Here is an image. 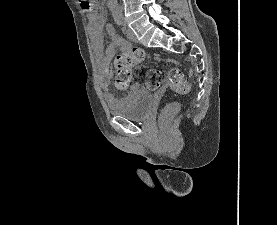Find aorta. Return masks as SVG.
<instances>
[{
	"label": "aorta",
	"mask_w": 277,
	"mask_h": 225,
	"mask_svg": "<svg viewBox=\"0 0 277 225\" xmlns=\"http://www.w3.org/2000/svg\"><path fill=\"white\" fill-rule=\"evenodd\" d=\"M110 11L114 20H119L121 18L122 13L117 0H110Z\"/></svg>",
	"instance_id": "1"
}]
</instances>
